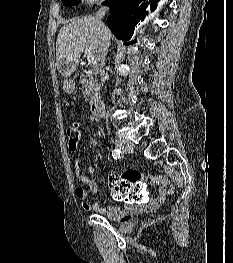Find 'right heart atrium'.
I'll use <instances>...</instances> for the list:
<instances>
[{"mask_svg": "<svg viewBox=\"0 0 233 263\" xmlns=\"http://www.w3.org/2000/svg\"><path fill=\"white\" fill-rule=\"evenodd\" d=\"M84 2L86 3H95V2H98V1H101V0H83Z\"/></svg>", "mask_w": 233, "mask_h": 263, "instance_id": "d8ad5b80", "label": "right heart atrium"}]
</instances>
